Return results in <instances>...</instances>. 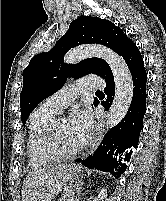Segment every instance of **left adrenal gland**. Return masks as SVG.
Here are the masks:
<instances>
[{"mask_svg":"<svg viewBox=\"0 0 166 201\" xmlns=\"http://www.w3.org/2000/svg\"><path fill=\"white\" fill-rule=\"evenodd\" d=\"M83 182H77L75 184V189H76V193H77V197H76V201H79V196H80V192H81V188H82Z\"/></svg>","mask_w":166,"mask_h":201,"instance_id":"a2214340","label":"left adrenal gland"}]
</instances>
